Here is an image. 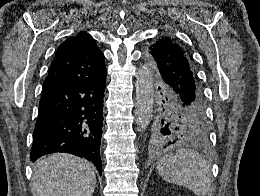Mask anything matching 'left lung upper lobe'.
Instances as JSON below:
<instances>
[{"label":"left lung upper lobe","mask_w":260,"mask_h":196,"mask_svg":"<svg viewBox=\"0 0 260 196\" xmlns=\"http://www.w3.org/2000/svg\"><path fill=\"white\" fill-rule=\"evenodd\" d=\"M151 69L161 83L145 135L150 151L185 142L205 143L210 123L193 59L188 49L162 36L146 49Z\"/></svg>","instance_id":"1"}]
</instances>
